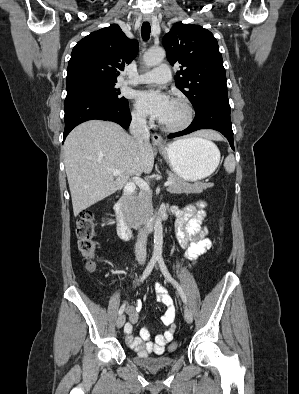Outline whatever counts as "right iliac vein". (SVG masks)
Listing matches in <instances>:
<instances>
[{
  "instance_id": "obj_1",
  "label": "right iliac vein",
  "mask_w": 299,
  "mask_h": 394,
  "mask_svg": "<svg viewBox=\"0 0 299 394\" xmlns=\"http://www.w3.org/2000/svg\"><path fill=\"white\" fill-rule=\"evenodd\" d=\"M125 323V315L121 314L117 319V328H122Z\"/></svg>"
}]
</instances>
